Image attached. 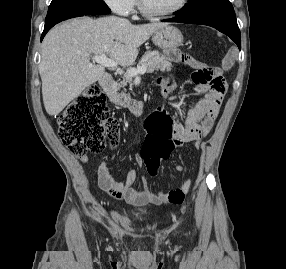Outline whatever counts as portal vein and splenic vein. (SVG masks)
<instances>
[{"label":"portal vein and splenic vein","instance_id":"portal-vein-and-splenic-vein-1","mask_svg":"<svg viewBox=\"0 0 286 269\" xmlns=\"http://www.w3.org/2000/svg\"><path fill=\"white\" fill-rule=\"evenodd\" d=\"M93 61H95L96 63L104 66V67H111V68H114V67H117L118 66V63L115 62L114 60L112 59H109L105 53H102L100 55H95L94 57H92ZM147 71V67L146 66H140L138 68H129L127 69V74L134 77L138 74L142 75L144 73H146Z\"/></svg>","mask_w":286,"mask_h":269}]
</instances>
